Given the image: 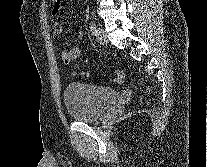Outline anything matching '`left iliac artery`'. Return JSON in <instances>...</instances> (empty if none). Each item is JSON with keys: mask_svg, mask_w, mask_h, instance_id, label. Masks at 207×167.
I'll list each match as a JSON object with an SVG mask.
<instances>
[{"mask_svg": "<svg viewBox=\"0 0 207 167\" xmlns=\"http://www.w3.org/2000/svg\"><path fill=\"white\" fill-rule=\"evenodd\" d=\"M96 23L94 22V21H92L91 23H90V31H91V33L92 34H95L96 33Z\"/></svg>", "mask_w": 207, "mask_h": 167, "instance_id": "left-iliac-artery-1", "label": "left iliac artery"}]
</instances>
